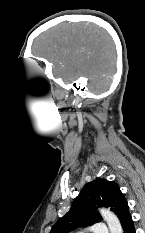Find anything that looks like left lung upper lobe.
Wrapping results in <instances>:
<instances>
[{"mask_svg":"<svg viewBox=\"0 0 145 233\" xmlns=\"http://www.w3.org/2000/svg\"><path fill=\"white\" fill-rule=\"evenodd\" d=\"M98 207H110L123 229L132 220L127 200L119 186L105 179H96L83 187L70 211L55 223L50 233H68L77 227L100 222L102 218L97 212Z\"/></svg>","mask_w":145,"mask_h":233,"instance_id":"obj_1","label":"left lung upper lobe"}]
</instances>
